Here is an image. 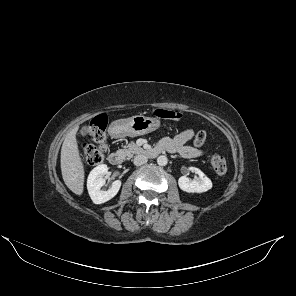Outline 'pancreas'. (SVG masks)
Here are the masks:
<instances>
[{"label": "pancreas", "mask_w": 296, "mask_h": 296, "mask_svg": "<svg viewBox=\"0 0 296 296\" xmlns=\"http://www.w3.org/2000/svg\"><path fill=\"white\" fill-rule=\"evenodd\" d=\"M120 152L124 157H127V159H130L135 154H141L144 152V149L138 146L135 142H130L126 146H124V149H121Z\"/></svg>", "instance_id": "obj_1"}]
</instances>
